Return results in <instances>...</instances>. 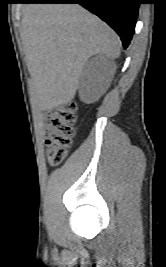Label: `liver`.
Returning <instances> with one entry per match:
<instances>
[{"label":"liver","mask_w":166,"mask_h":267,"mask_svg":"<svg viewBox=\"0 0 166 267\" xmlns=\"http://www.w3.org/2000/svg\"><path fill=\"white\" fill-rule=\"evenodd\" d=\"M22 42L40 110L72 101L89 57L120 55L118 35L78 4H29Z\"/></svg>","instance_id":"obj_1"}]
</instances>
